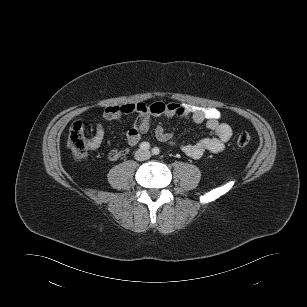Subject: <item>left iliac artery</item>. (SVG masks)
I'll return each mask as SVG.
<instances>
[{
    "label": "left iliac artery",
    "mask_w": 307,
    "mask_h": 307,
    "mask_svg": "<svg viewBox=\"0 0 307 307\" xmlns=\"http://www.w3.org/2000/svg\"><path fill=\"white\" fill-rule=\"evenodd\" d=\"M159 153H160L159 148L154 147V148L152 149V154H153V155H158Z\"/></svg>",
    "instance_id": "44dca946"
}]
</instances>
